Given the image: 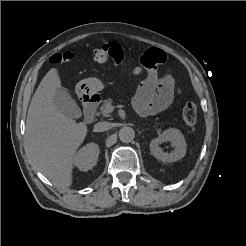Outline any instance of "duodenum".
<instances>
[{"label":"duodenum","instance_id":"410a0bca","mask_svg":"<svg viewBox=\"0 0 246 246\" xmlns=\"http://www.w3.org/2000/svg\"><path fill=\"white\" fill-rule=\"evenodd\" d=\"M99 102L97 94L86 95L83 97L84 120L91 122L94 119L95 111Z\"/></svg>","mask_w":246,"mask_h":246}]
</instances>
